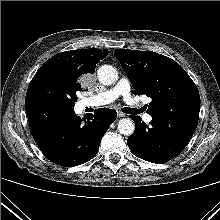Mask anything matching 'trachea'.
Listing matches in <instances>:
<instances>
[{
    "instance_id": "1",
    "label": "trachea",
    "mask_w": 220,
    "mask_h": 220,
    "mask_svg": "<svg viewBox=\"0 0 220 220\" xmlns=\"http://www.w3.org/2000/svg\"><path fill=\"white\" fill-rule=\"evenodd\" d=\"M122 112H124L126 114L136 115V114H138L140 112V110L124 107V108H122Z\"/></svg>"
}]
</instances>
